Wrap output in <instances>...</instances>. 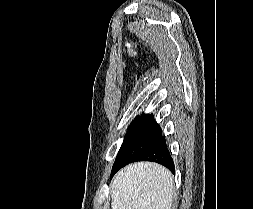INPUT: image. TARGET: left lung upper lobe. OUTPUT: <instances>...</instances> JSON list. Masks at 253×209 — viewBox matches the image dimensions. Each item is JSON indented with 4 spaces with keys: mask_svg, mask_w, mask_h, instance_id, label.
<instances>
[{
    "mask_svg": "<svg viewBox=\"0 0 253 209\" xmlns=\"http://www.w3.org/2000/svg\"><path fill=\"white\" fill-rule=\"evenodd\" d=\"M161 134L162 131L152 115L142 114L138 116L129 126L116 160L139 154Z\"/></svg>",
    "mask_w": 253,
    "mask_h": 209,
    "instance_id": "obj_1",
    "label": "left lung upper lobe"
}]
</instances>
